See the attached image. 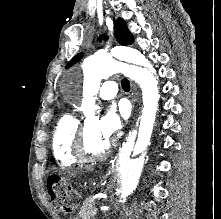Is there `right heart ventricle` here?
Segmentation results:
<instances>
[{
  "label": "right heart ventricle",
  "mask_w": 221,
  "mask_h": 219,
  "mask_svg": "<svg viewBox=\"0 0 221 219\" xmlns=\"http://www.w3.org/2000/svg\"><path fill=\"white\" fill-rule=\"evenodd\" d=\"M81 122L74 113H64L57 121L52 134V151L56 163L69 167L79 162L73 154V144Z\"/></svg>",
  "instance_id": "1"
}]
</instances>
